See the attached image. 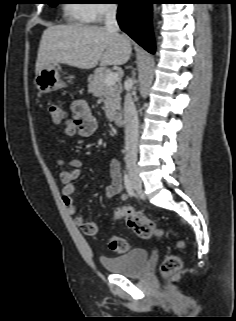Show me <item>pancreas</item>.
Wrapping results in <instances>:
<instances>
[{
  "label": "pancreas",
  "instance_id": "obj_1",
  "mask_svg": "<svg viewBox=\"0 0 236 321\" xmlns=\"http://www.w3.org/2000/svg\"><path fill=\"white\" fill-rule=\"evenodd\" d=\"M109 73L105 69H101L88 78V88L95 97L100 98L104 102V111L106 117L110 120L114 119L117 111L120 110V91L118 84L107 85L105 77Z\"/></svg>",
  "mask_w": 236,
  "mask_h": 321
}]
</instances>
